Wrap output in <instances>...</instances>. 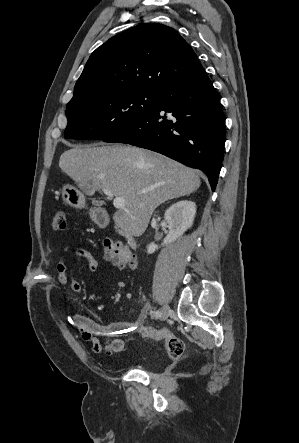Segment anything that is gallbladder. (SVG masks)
<instances>
[{"label": "gallbladder", "instance_id": "gallbladder-1", "mask_svg": "<svg viewBox=\"0 0 299 443\" xmlns=\"http://www.w3.org/2000/svg\"><path fill=\"white\" fill-rule=\"evenodd\" d=\"M92 203H93L94 205H96L98 202H97L96 200H93Z\"/></svg>", "mask_w": 299, "mask_h": 443}]
</instances>
